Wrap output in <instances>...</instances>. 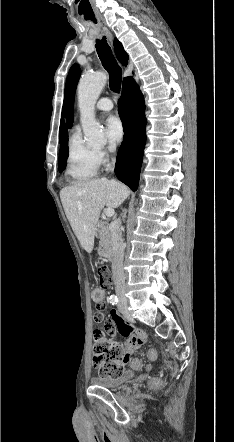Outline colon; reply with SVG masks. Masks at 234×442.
I'll return each instance as SVG.
<instances>
[{
  "instance_id": "5ec220e1",
  "label": "colon",
  "mask_w": 234,
  "mask_h": 442,
  "mask_svg": "<svg viewBox=\"0 0 234 442\" xmlns=\"http://www.w3.org/2000/svg\"><path fill=\"white\" fill-rule=\"evenodd\" d=\"M97 277L100 286L92 290V300L96 303L99 309L103 306L104 288H109L112 285V275L109 267L101 262L97 266ZM96 343L93 352V364L98 369L100 376L116 377L124 370L126 364L133 369H140L142 367L141 359L137 358V352L132 349L124 351L123 345L112 342L105 338V335L95 331ZM158 355L154 346H149L145 349V357L148 361L153 362ZM152 389H159L161 382L159 380H152L150 382Z\"/></svg>"
}]
</instances>
